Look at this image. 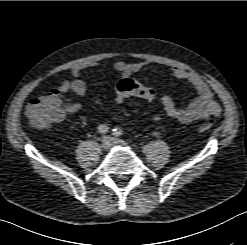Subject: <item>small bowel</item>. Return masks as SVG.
I'll use <instances>...</instances> for the list:
<instances>
[{
    "mask_svg": "<svg viewBox=\"0 0 247 245\" xmlns=\"http://www.w3.org/2000/svg\"><path fill=\"white\" fill-rule=\"evenodd\" d=\"M149 61L124 62L118 61L114 64V70L123 78L130 77L144 67L149 65ZM98 62H85L73 66L70 70L72 79L64 80L57 88L51 89L45 97L61 101L64 93H74L83 96L86 93V83L80 78L84 69L98 67ZM173 76L190 85L197 93V96L186 106L179 107L168 95H160L159 100L163 107V114L155 116L156 120L164 116L174 118L180 123L188 124L196 120H206L221 113V107L216 101L210 86L197 74L189 72L181 67L172 68ZM81 109V104L74 103L63 107L64 116L77 113Z\"/></svg>",
    "mask_w": 247,
    "mask_h": 245,
    "instance_id": "obj_1",
    "label": "small bowel"
}]
</instances>
